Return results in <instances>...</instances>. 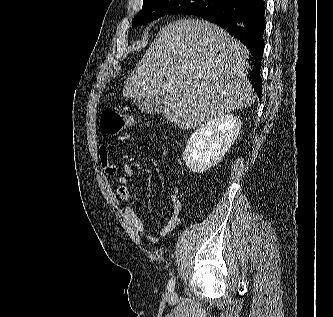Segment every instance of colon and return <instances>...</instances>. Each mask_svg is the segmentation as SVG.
I'll return each instance as SVG.
<instances>
[{
	"label": "colon",
	"instance_id": "obj_1",
	"mask_svg": "<svg viewBox=\"0 0 333 317\" xmlns=\"http://www.w3.org/2000/svg\"><path fill=\"white\" fill-rule=\"evenodd\" d=\"M134 123L133 116L122 106L106 108L100 119V131L105 136H117L131 127Z\"/></svg>",
	"mask_w": 333,
	"mask_h": 317
}]
</instances>
